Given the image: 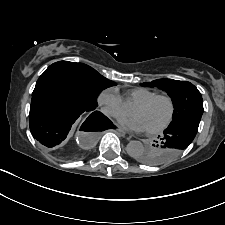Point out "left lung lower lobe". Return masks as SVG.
I'll return each instance as SVG.
<instances>
[{
  "label": "left lung lower lobe",
  "instance_id": "obj_1",
  "mask_svg": "<svg viewBox=\"0 0 225 225\" xmlns=\"http://www.w3.org/2000/svg\"><path fill=\"white\" fill-rule=\"evenodd\" d=\"M202 115H192L170 124L165 130L160 142L166 151L152 155V165H161L179 155L186 149L196 136Z\"/></svg>",
  "mask_w": 225,
  "mask_h": 225
}]
</instances>
